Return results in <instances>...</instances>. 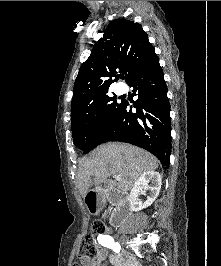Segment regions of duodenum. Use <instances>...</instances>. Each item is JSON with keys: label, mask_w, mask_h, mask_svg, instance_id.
Listing matches in <instances>:
<instances>
[{"label": "duodenum", "mask_w": 221, "mask_h": 266, "mask_svg": "<svg viewBox=\"0 0 221 266\" xmlns=\"http://www.w3.org/2000/svg\"><path fill=\"white\" fill-rule=\"evenodd\" d=\"M85 195V203L88 206L89 213H100L101 209L99 206L104 205L102 200L107 196L116 203L117 207L110 215V223L113 226L123 225L132 214L131 199L127 195L115 190L107 192L103 188L88 189Z\"/></svg>", "instance_id": "obj_1"}]
</instances>
